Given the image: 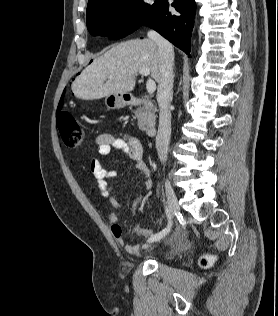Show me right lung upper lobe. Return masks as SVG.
<instances>
[{"instance_id": "right-lung-upper-lobe-1", "label": "right lung upper lobe", "mask_w": 278, "mask_h": 316, "mask_svg": "<svg viewBox=\"0 0 278 316\" xmlns=\"http://www.w3.org/2000/svg\"><path fill=\"white\" fill-rule=\"evenodd\" d=\"M109 0H88V5H87V12L97 6L98 4H101L103 2H107Z\"/></svg>"}]
</instances>
